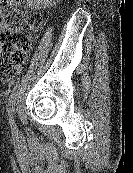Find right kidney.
I'll use <instances>...</instances> for the list:
<instances>
[{
    "label": "right kidney",
    "instance_id": "right-kidney-1",
    "mask_svg": "<svg viewBox=\"0 0 133 173\" xmlns=\"http://www.w3.org/2000/svg\"><path fill=\"white\" fill-rule=\"evenodd\" d=\"M58 2L60 0H28L29 5L32 7H42L47 5H52V3Z\"/></svg>",
    "mask_w": 133,
    "mask_h": 173
}]
</instances>
